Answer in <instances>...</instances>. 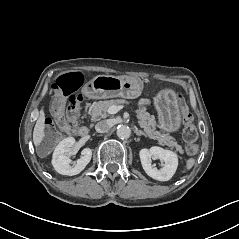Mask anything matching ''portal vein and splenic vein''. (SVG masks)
I'll return each instance as SVG.
<instances>
[{
    "instance_id": "portal-vein-and-splenic-vein-1",
    "label": "portal vein and splenic vein",
    "mask_w": 239,
    "mask_h": 239,
    "mask_svg": "<svg viewBox=\"0 0 239 239\" xmlns=\"http://www.w3.org/2000/svg\"><path fill=\"white\" fill-rule=\"evenodd\" d=\"M121 109H123V106H121V105H119V106H111V107L108 108L107 113L109 115H114L118 111H120Z\"/></svg>"
}]
</instances>
